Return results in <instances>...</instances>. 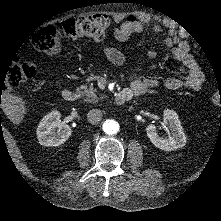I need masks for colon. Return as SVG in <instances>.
<instances>
[{
	"label": "colon",
	"mask_w": 221,
	"mask_h": 221,
	"mask_svg": "<svg viewBox=\"0 0 221 221\" xmlns=\"http://www.w3.org/2000/svg\"><path fill=\"white\" fill-rule=\"evenodd\" d=\"M128 20H135L131 17ZM112 20L105 14L70 18L54 25L44 26L36 31L32 41L36 50L42 51L49 56L57 55L61 44L73 41L77 38H88L92 41H102L111 27ZM35 68L29 63H16L11 66L7 79L6 88L13 90L23 83L32 79Z\"/></svg>",
	"instance_id": "5ec220e1"
}]
</instances>
